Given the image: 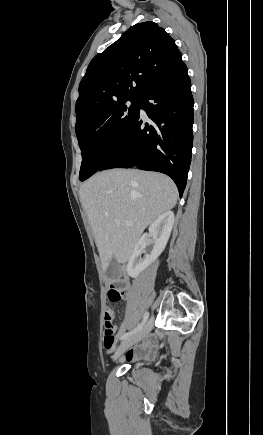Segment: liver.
<instances>
[{
	"instance_id": "obj_1",
	"label": "liver",
	"mask_w": 263,
	"mask_h": 435,
	"mask_svg": "<svg viewBox=\"0 0 263 435\" xmlns=\"http://www.w3.org/2000/svg\"><path fill=\"white\" fill-rule=\"evenodd\" d=\"M79 196L106 270L113 258L118 263L130 259L144 229L176 205L178 190L163 174L111 169L89 178ZM115 219L120 223L115 224Z\"/></svg>"
}]
</instances>
